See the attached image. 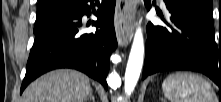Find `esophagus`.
<instances>
[{"mask_svg":"<svg viewBox=\"0 0 221 102\" xmlns=\"http://www.w3.org/2000/svg\"><path fill=\"white\" fill-rule=\"evenodd\" d=\"M135 2L133 0H117L115 10V30L120 46H127L134 31Z\"/></svg>","mask_w":221,"mask_h":102,"instance_id":"obj_1","label":"esophagus"}]
</instances>
